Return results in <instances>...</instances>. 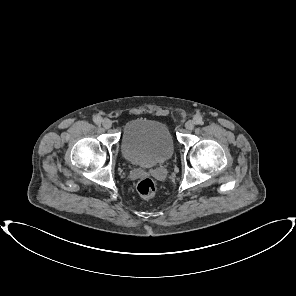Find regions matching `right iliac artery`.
I'll return each instance as SVG.
<instances>
[{"instance_id": "1", "label": "right iliac artery", "mask_w": 296, "mask_h": 296, "mask_svg": "<svg viewBox=\"0 0 296 296\" xmlns=\"http://www.w3.org/2000/svg\"><path fill=\"white\" fill-rule=\"evenodd\" d=\"M93 120H94V122L96 123V124H101V122H102V118L100 117V116H95L94 118H93Z\"/></svg>"}]
</instances>
